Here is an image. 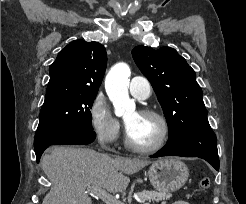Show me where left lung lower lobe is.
Masks as SVG:
<instances>
[{
	"mask_svg": "<svg viewBox=\"0 0 246 204\" xmlns=\"http://www.w3.org/2000/svg\"><path fill=\"white\" fill-rule=\"evenodd\" d=\"M170 155L199 157L219 170L217 138L209 124L191 127L170 137L167 145L152 157Z\"/></svg>",
	"mask_w": 246,
	"mask_h": 204,
	"instance_id": "1",
	"label": "left lung lower lobe"
}]
</instances>
